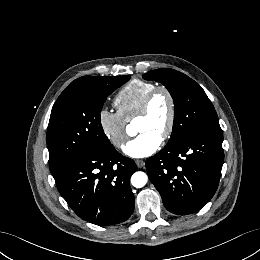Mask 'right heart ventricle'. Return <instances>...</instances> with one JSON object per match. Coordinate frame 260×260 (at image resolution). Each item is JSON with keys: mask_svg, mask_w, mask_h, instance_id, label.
I'll list each match as a JSON object with an SVG mask.
<instances>
[{"mask_svg": "<svg viewBox=\"0 0 260 260\" xmlns=\"http://www.w3.org/2000/svg\"><path fill=\"white\" fill-rule=\"evenodd\" d=\"M156 87L150 81L135 79L124 86L116 95L114 104L117 112L128 122L136 117L146 94Z\"/></svg>", "mask_w": 260, "mask_h": 260, "instance_id": "right-heart-ventricle-1", "label": "right heart ventricle"}]
</instances>
